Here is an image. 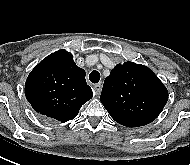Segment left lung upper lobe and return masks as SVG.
<instances>
[{"label": "left lung upper lobe", "instance_id": "obj_1", "mask_svg": "<svg viewBox=\"0 0 190 165\" xmlns=\"http://www.w3.org/2000/svg\"><path fill=\"white\" fill-rule=\"evenodd\" d=\"M168 92L146 66L133 62L118 64L106 77L100 101L111 117L127 127L151 123L161 113Z\"/></svg>", "mask_w": 190, "mask_h": 165}]
</instances>
